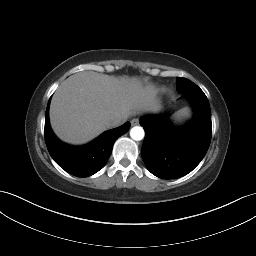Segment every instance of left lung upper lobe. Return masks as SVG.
Returning a JSON list of instances; mask_svg holds the SVG:
<instances>
[{"label": "left lung upper lobe", "instance_id": "1", "mask_svg": "<svg viewBox=\"0 0 256 256\" xmlns=\"http://www.w3.org/2000/svg\"><path fill=\"white\" fill-rule=\"evenodd\" d=\"M192 85H195L192 81H190V80H188L186 78L177 77L176 87H177V91L178 92L184 93Z\"/></svg>", "mask_w": 256, "mask_h": 256}]
</instances>
